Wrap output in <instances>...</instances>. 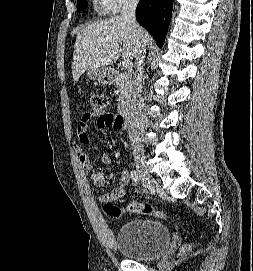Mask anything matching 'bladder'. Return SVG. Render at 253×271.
I'll list each match as a JSON object with an SVG mask.
<instances>
[{"instance_id": "obj_1", "label": "bladder", "mask_w": 253, "mask_h": 271, "mask_svg": "<svg viewBox=\"0 0 253 271\" xmlns=\"http://www.w3.org/2000/svg\"><path fill=\"white\" fill-rule=\"evenodd\" d=\"M170 240V231L164 223L149 219H135L118 229L115 244L120 254L126 259L146 261L164 252Z\"/></svg>"}]
</instances>
